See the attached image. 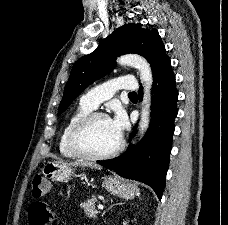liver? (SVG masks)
<instances>
[{"mask_svg":"<svg viewBox=\"0 0 228 225\" xmlns=\"http://www.w3.org/2000/svg\"><path fill=\"white\" fill-rule=\"evenodd\" d=\"M70 165H73V167H88L86 163H70ZM90 167V165H89Z\"/></svg>","mask_w":228,"mask_h":225,"instance_id":"obj_1","label":"liver"}]
</instances>
